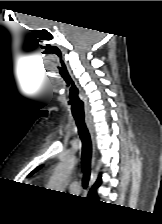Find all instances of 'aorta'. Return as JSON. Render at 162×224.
Segmentation results:
<instances>
[{
    "mask_svg": "<svg viewBox=\"0 0 162 224\" xmlns=\"http://www.w3.org/2000/svg\"><path fill=\"white\" fill-rule=\"evenodd\" d=\"M74 165V158H67L61 161L55 168L54 174L51 178L50 187L55 189L56 191L62 190L64 181L71 174Z\"/></svg>",
    "mask_w": 162,
    "mask_h": 224,
    "instance_id": "762f6f07",
    "label": "aorta"
}]
</instances>
